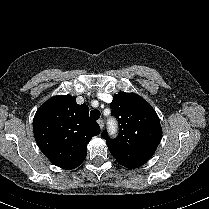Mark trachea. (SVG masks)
<instances>
[{"label":"trachea","mask_w":209,"mask_h":209,"mask_svg":"<svg viewBox=\"0 0 209 209\" xmlns=\"http://www.w3.org/2000/svg\"><path fill=\"white\" fill-rule=\"evenodd\" d=\"M100 115H101V113H100V111H98V110H92V111L90 112V117H91L94 121L98 120V119L100 118Z\"/></svg>","instance_id":"1"}]
</instances>
